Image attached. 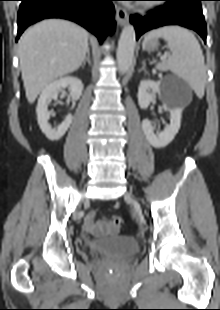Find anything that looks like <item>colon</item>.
Segmentation results:
<instances>
[{
    "instance_id": "1",
    "label": "colon",
    "mask_w": 220,
    "mask_h": 310,
    "mask_svg": "<svg viewBox=\"0 0 220 310\" xmlns=\"http://www.w3.org/2000/svg\"><path fill=\"white\" fill-rule=\"evenodd\" d=\"M121 223H122L121 218L118 217V216H114L112 218V225H111L112 226V231L116 232L119 229V227L121 226Z\"/></svg>"
}]
</instances>
